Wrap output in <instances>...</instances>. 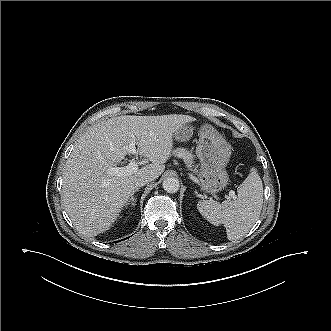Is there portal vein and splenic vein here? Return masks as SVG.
<instances>
[{"label":"portal vein and splenic vein","instance_id":"18ae733b","mask_svg":"<svg viewBox=\"0 0 331 331\" xmlns=\"http://www.w3.org/2000/svg\"><path fill=\"white\" fill-rule=\"evenodd\" d=\"M126 150L129 151L130 153H135L136 151L135 143L134 142L129 143V145L126 147ZM137 171H138V163L136 161H131L125 167H110L108 169V172L110 174H114L117 176L131 175ZM234 195H235L234 191L229 192L230 197H234Z\"/></svg>","mask_w":331,"mask_h":331}]
</instances>
